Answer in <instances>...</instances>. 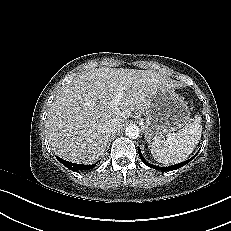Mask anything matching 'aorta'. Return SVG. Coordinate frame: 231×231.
Returning <instances> with one entry per match:
<instances>
[{
  "label": "aorta",
  "mask_w": 231,
  "mask_h": 231,
  "mask_svg": "<svg viewBox=\"0 0 231 231\" xmlns=\"http://www.w3.org/2000/svg\"><path fill=\"white\" fill-rule=\"evenodd\" d=\"M125 134L127 137L131 139H136L137 137H139L140 129L137 125L130 124L129 126L126 127Z\"/></svg>",
  "instance_id": "762f6f07"
}]
</instances>
